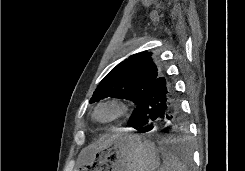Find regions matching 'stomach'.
<instances>
[{
  "label": "stomach",
  "mask_w": 245,
  "mask_h": 171,
  "mask_svg": "<svg viewBox=\"0 0 245 171\" xmlns=\"http://www.w3.org/2000/svg\"><path fill=\"white\" fill-rule=\"evenodd\" d=\"M158 149L141 135L116 133L106 147L90 152L77 171H156Z\"/></svg>",
  "instance_id": "0dacf381"
}]
</instances>
